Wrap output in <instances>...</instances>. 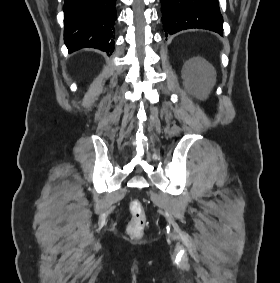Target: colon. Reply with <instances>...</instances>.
<instances>
[{
	"label": "colon",
	"mask_w": 280,
	"mask_h": 283,
	"mask_svg": "<svg viewBox=\"0 0 280 283\" xmlns=\"http://www.w3.org/2000/svg\"><path fill=\"white\" fill-rule=\"evenodd\" d=\"M131 219L127 225V233L132 237H140L146 226V214L139 200L131 201L129 205Z\"/></svg>",
	"instance_id": "1"
}]
</instances>
